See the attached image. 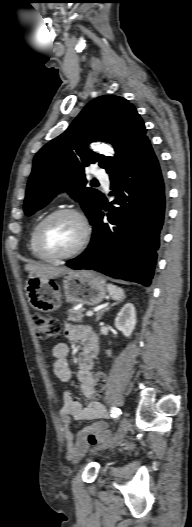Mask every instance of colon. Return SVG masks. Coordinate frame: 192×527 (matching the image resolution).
I'll use <instances>...</instances> for the list:
<instances>
[{
	"label": "colon",
	"mask_w": 192,
	"mask_h": 527,
	"mask_svg": "<svg viewBox=\"0 0 192 527\" xmlns=\"http://www.w3.org/2000/svg\"><path fill=\"white\" fill-rule=\"evenodd\" d=\"M34 328L39 340L50 342L58 338L62 331L60 322L54 318L44 315H35L33 318ZM97 390H102L105 385V376L102 372H96L94 375ZM105 434V433H104Z\"/></svg>",
	"instance_id": "colon-1"
}]
</instances>
